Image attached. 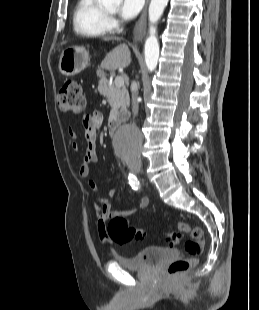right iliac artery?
<instances>
[{
    "mask_svg": "<svg viewBox=\"0 0 259 310\" xmlns=\"http://www.w3.org/2000/svg\"><path fill=\"white\" fill-rule=\"evenodd\" d=\"M128 180H129V183L131 185V187L134 189V190H138L140 188V182L139 180L137 179V177L135 175H133L132 173H129L128 175Z\"/></svg>",
    "mask_w": 259,
    "mask_h": 310,
    "instance_id": "82829eb1",
    "label": "right iliac artery"
}]
</instances>
